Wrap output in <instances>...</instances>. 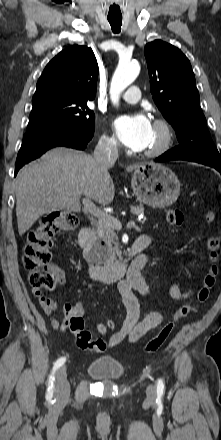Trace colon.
I'll return each instance as SVG.
<instances>
[{
	"label": "colon",
	"mask_w": 221,
	"mask_h": 440,
	"mask_svg": "<svg viewBox=\"0 0 221 440\" xmlns=\"http://www.w3.org/2000/svg\"><path fill=\"white\" fill-rule=\"evenodd\" d=\"M184 220V214L179 209H168L166 211V221L170 225L181 226ZM206 220L210 223L213 222L215 215L208 213ZM77 225L78 218L73 213L56 211L46 214L42 218L39 226L28 233L23 254V265L29 272V283L33 289L42 292L52 291L55 288L58 275L48 266L52 258L51 248L53 238L61 232L75 229ZM207 249L210 266L194 298V301L198 303L205 302L208 299L217 281V261L220 250L219 238L215 236L209 237L207 240ZM190 310L191 303L183 304L174 313L172 318L161 327L158 334L144 344V352L153 353L160 349L170 337L175 323L185 317ZM69 322V328L79 348L97 353L106 350V342L101 338H93L90 331L85 328L84 309L81 304L75 305ZM117 325V321L114 318L105 317V327L116 329Z\"/></svg>",
	"instance_id": "obj_1"
}]
</instances>
